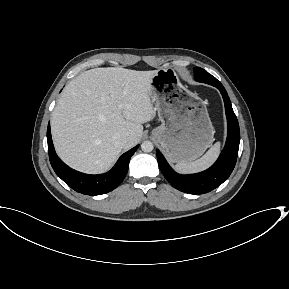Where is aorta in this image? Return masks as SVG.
Listing matches in <instances>:
<instances>
[{
    "instance_id": "1",
    "label": "aorta",
    "mask_w": 289,
    "mask_h": 289,
    "mask_svg": "<svg viewBox=\"0 0 289 289\" xmlns=\"http://www.w3.org/2000/svg\"><path fill=\"white\" fill-rule=\"evenodd\" d=\"M153 143L151 141H144L141 144V149L144 152H151L153 150Z\"/></svg>"
}]
</instances>
